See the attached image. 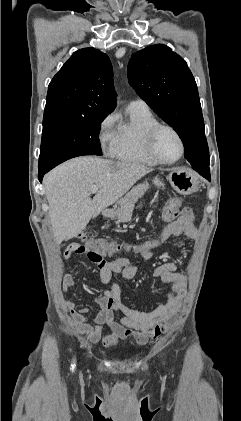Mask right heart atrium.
Returning a JSON list of instances; mask_svg holds the SVG:
<instances>
[{"instance_id":"d8ad5b80","label":"right heart atrium","mask_w":241,"mask_h":421,"mask_svg":"<svg viewBox=\"0 0 241 421\" xmlns=\"http://www.w3.org/2000/svg\"><path fill=\"white\" fill-rule=\"evenodd\" d=\"M116 116L113 113L106 115L99 125L98 138L103 150H111L115 132L113 130Z\"/></svg>"}]
</instances>
